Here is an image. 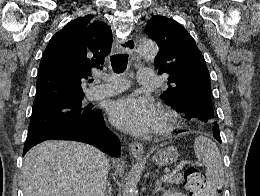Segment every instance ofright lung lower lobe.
I'll return each instance as SVG.
<instances>
[{
	"instance_id": "98d812e1",
	"label": "right lung lower lobe",
	"mask_w": 260,
	"mask_h": 196,
	"mask_svg": "<svg viewBox=\"0 0 260 196\" xmlns=\"http://www.w3.org/2000/svg\"><path fill=\"white\" fill-rule=\"evenodd\" d=\"M50 139L84 142L96 146L98 149L104 153H107L108 155L114 157L120 156L119 139L105 126L101 110L95 111L94 117L83 124L46 133L33 139L26 140L23 156L33 146Z\"/></svg>"
}]
</instances>
